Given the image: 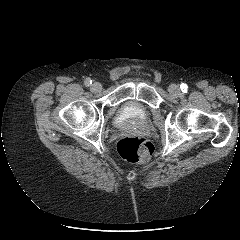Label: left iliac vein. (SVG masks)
Instances as JSON below:
<instances>
[{
  "mask_svg": "<svg viewBox=\"0 0 240 240\" xmlns=\"http://www.w3.org/2000/svg\"><path fill=\"white\" fill-rule=\"evenodd\" d=\"M169 93L174 97H180L182 95L180 88L176 84L169 86Z\"/></svg>",
  "mask_w": 240,
  "mask_h": 240,
  "instance_id": "1",
  "label": "left iliac vein"
}]
</instances>
